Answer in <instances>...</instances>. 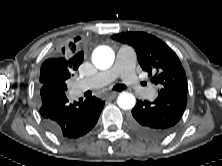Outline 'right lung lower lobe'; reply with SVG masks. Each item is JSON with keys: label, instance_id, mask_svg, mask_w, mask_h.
<instances>
[{"label": "right lung lower lobe", "instance_id": "98d812e1", "mask_svg": "<svg viewBox=\"0 0 222 166\" xmlns=\"http://www.w3.org/2000/svg\"><path fill=\"white\" fill-rule=\"evenodd\" d=\"M66 90L42 84L38 99L40 114L47 129L59 138L74 139L85 135L97 123L105 102L96 97L69 104Z\"/></svg>", "mask_w": 222, "mask_h": 166}]
</instances>
